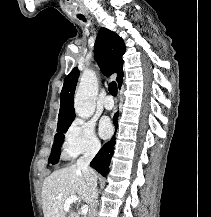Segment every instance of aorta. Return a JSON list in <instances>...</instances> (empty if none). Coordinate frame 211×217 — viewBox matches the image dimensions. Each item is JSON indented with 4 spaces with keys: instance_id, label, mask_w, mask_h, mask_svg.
<instances>
[{
    "instance_id": "aorta-1",
    "label": "aorta",
    "mask_w": 211,
    "mask_h": 217,
    "mask_svg": "<svg viewBox=\"0 0 211 217\" xmlns=\"http://www.w3.org/2000/svg\"><path fill=\"white\" fill-rule=\"evenodd\" d=\"M98 93V79L95 71L85 70L80 78L79 86L75 93V113L81 118H89L96 107Z\"/></svg>"
}]
</instances>
